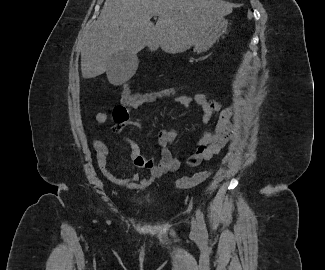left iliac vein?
Wrapping results in <instances>:
<instances>
[{
	"label": "left iliac vein",
	"mask_w": 325,
	"mask_h": 270,
	"mask_svg": "<svg viewBox=\"0 0 325 270\" xmlns=\"http://www.w3.org/2000/svg\"><path fill=\"white\" fill-rule=\"evenodd\" d=\"M191 232L193 234H197L198 233L197 224H196V221L194 219H192V222H191Z\"/></svg>",
	"instance_id": "4c4485c4"
}]
</instances>
